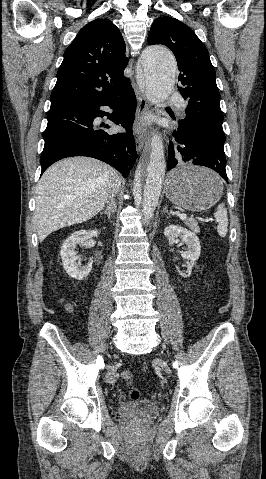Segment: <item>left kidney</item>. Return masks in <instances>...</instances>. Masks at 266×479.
I'll return each instance as SVG.
<instances>
[{
	"instance_id": "5707ae66",
	"label": "left kidney",
	"mask_w": 266,
	"mask_h": 479,
	"mask_svg": "<svg viewBox=\"0 0 266 479\" xmlns=\"http://www.w3.org/2000/svg\"><path fill=\"white\" fill-rule=\"evenodd\" d=\"M164 235L167 237L169 243H174L177 238H180L182 242L188 246V250L183 254L184 258L189 260L188 269L186 272L178 269V272L184 278L189 277L193 265L200 256L201 246L199 238L195 233L176 225L167 226L164 230Z\"/></svg>"
}]
</instances>
